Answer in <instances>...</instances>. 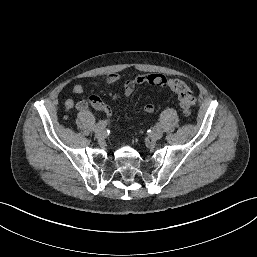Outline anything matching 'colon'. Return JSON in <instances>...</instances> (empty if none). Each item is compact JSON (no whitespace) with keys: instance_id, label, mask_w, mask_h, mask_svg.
Returning <instances> with one entry per match:
<instances>
[{"instance_id":"1","label":"colon","mask_w":257,"mask_h":257,"mask_svg":"<svg viewBox=\"0 0 257 257\" xmlns=\"http://www.w3.org/2000/svg\"><path fill=\"white\" fill-rule=\"evenodd\" d=\"M168 87L178 96L184 115L190 116L194 110L195 97L188 85L181 80L172 79L168 82Z\"/></svg>"}]
</instances>
